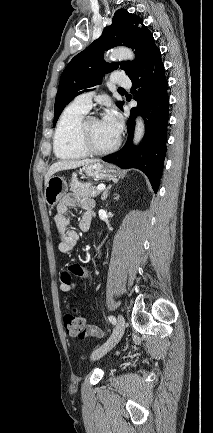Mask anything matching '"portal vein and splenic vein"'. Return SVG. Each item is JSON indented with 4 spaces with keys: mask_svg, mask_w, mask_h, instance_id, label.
I'll list each match as a JSON object with an SVG mask.
<instances>
[{
    "mask_svg": "<svg viewBox=\"0 0 213 433\" xmlns=\"http://www.w3.org/2000/svg\"><path fill=\"white\" fill-rule=\"evenodd\" d=\"M96 189L99 190V191H102V190L105 189V185L104 184H100V185L97 186Z\"/></svg>",
    "mask_w": 213,
    "mask_h": 433,
    "instance_id": "obj_1",
    "label": "portal vein and splenic vein"
}]
</instances>
